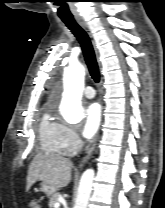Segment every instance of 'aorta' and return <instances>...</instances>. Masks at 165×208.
I'll use <instances>...</instances> for the list:
<instances>
[{
    "mask_svg": "<svg viewBox=\"0 0 165 208\" xmlns=\"http://www.w3.org/2000/svg\"><path fill=\"white\" fill-rule=\"evenodd\" d=\"M85 70L81 64H71L65 70V91L60 105L63 118L69 123H77L82 117L81 98L84 89ZM94 170L87 169L81 176L74 208H87L90 198Z\"/></svg>",
    "mask_w": 165,
    "mask_h": 208,
    "instance_id": "762f6f07",
    "label": "aorta"
}]
</instances>
